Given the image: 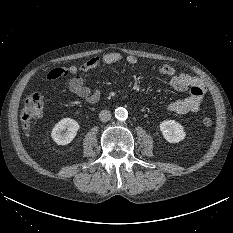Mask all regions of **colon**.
<instances>
[{"label": "colon", "mask_w": 233, "mask_h": 233, "mask_svg": "<svg viewBox=\"0 0 233 233\" xmlns=\"http://www.w3.org/2000/svg\"><path fill=\"white\" fill-rule=\"evenodd\" d=\"M43 108L44 100L40 94L33 93L27 97L20 113V119L26 131H29L32 120L41 115ZM212 123L213 121L209 117H204L202 119V124L205 127H210Z\"/></svg>", "instance_id": "colon-1"}]
</instances>
